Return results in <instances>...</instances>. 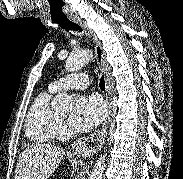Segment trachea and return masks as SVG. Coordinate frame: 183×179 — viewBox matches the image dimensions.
<instances>
[{"instance_id":"3493384b","label":"trachea","mask_w":183,"mask_h":179,"mask_svg":"<svg viewBox=\"0 0 183 179\" xmlns=\"http://www.w3.org/2000/svg\"><path fill=\"white\" fill-rule=\"evenodd\" d=\"M53 17L56 23L59 24V26L65 29L66 31H69V30L79 31V32L82 31L80 26L77 25L76 23L71 22L62 11L56 12L55 14H53ZM99 87L102 90H105L104 76H102L100 79Z\"/></svg>"}]
</instances>
